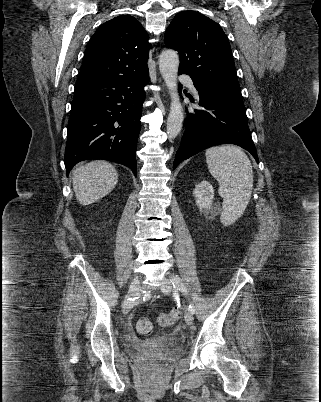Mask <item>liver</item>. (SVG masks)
<instances>
[{"instance_id":"obj_1","label":"liver","mask_w":321,"mask_h":402,"mask_svg":"<svg viewBox=\"0 0 321 402\" xmlns=\"http://www.w3.org/2000/svg\"><path fill=\"white\" fill-rule=\"evenodd\" d=\"M118 182L116 169L97 160L78 166L73 172V189L81 205L92 204L108 195Z\"/></svg>"}]
</instances>
